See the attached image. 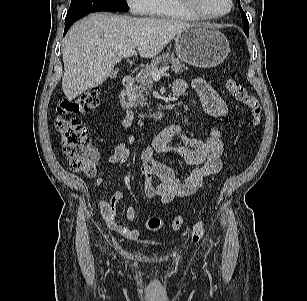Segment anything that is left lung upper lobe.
Here are the masks:
<instances>
[{"label":"left lung upper lobe","mask_w":307,"mask_h":301,"mask_svg":"<svg viewBox=\"0 0 307 301\" xmlns=\"http://www.w3.org/2000/svg\"><path fill=\"white\" fill-rule=\"evenodd\" d=\"M237 1L240 2V0H237ZM239 9L241 10V13H242V21H243V23H244V25H245V26L243 27V29H244L245 34L248 36V25H249V22H248V20H247V17H246V15H245V13H244L243 10H242L240 4H239Z\"/></svg>","instance_id":"left-lung-upper-lobe-1"}]
</instances>
